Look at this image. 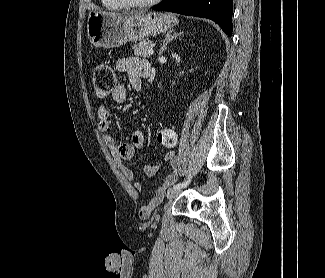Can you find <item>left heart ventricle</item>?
Instances as JSON below:
<instances>
[{
    "mask_svg": "<svg viewBox=\"0 0 325 278\" xmlns=\"http://www.w3.org/2000/svg\"><path fill=\"white\" fill-rule=\"evenodd\" d=\"M136 1H145V0H136Z\"/></svg>",
    "mask_w": 325,
    "mask_h": 278,
    "instance_id": "left-heart-ventricle-1",
    "label": "left heart ventricle"
}]
</instances>
